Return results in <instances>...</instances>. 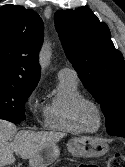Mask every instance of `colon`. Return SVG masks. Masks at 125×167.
Returning <instances> with one entry per match:
<instances>
[{
	"label": "colon",
	"instance_id": "5ec220e1",
	"mask_svg": "<svg viewBox=\"0 0 125 167\" xmlns=\"http://www.w3.org/2000/svg\"><path fill=\"white\" fill-rule=\"evenodd\" d=\"M16 167V166H12ZM80 167H97L95 165H82ZM107 167H125V156L122 154H115L107 161Z\"/></svg>",
	"mask_w": 125,
	"mask_h": 167
}]
</instances>
